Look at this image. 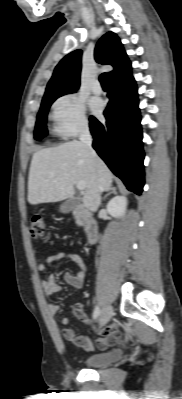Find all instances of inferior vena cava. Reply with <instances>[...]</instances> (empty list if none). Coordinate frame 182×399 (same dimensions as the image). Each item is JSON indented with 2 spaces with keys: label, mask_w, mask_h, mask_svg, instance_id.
Instances as JSON below:
<instances>
[{
  "label": "inferior vena cava",
  "mask_w": 182,
  "mask_h": 399,
  "mask_svg": "<svg viewBox=\"0 0 182 399\" xmlns=\"http://www.w3.org/2000/svg\"><path fill=\"white\" fill-rule=\"evenodd\" d=\"M79 139L80 142L83 143L93 155H95V152L92 149V137L87 123L82 124V126L80 127Z\"/></svg>",
  "instance_id": "obj_1"
}]
</instances>
